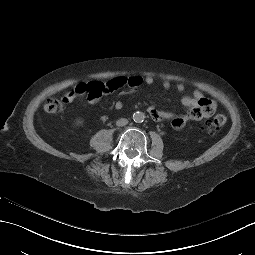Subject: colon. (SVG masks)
Returning <instances> with one entry per match:
<instances>
[{
  "instance_id": "obj_1",
  "label": "colon",
  "mask_w": 255,
  "mask_h": 255,
  "mask_svg": "<svg viewBox=\"0 0 255 255\" xmlns=\"http://www.w3.org/2000/svg\"><path fill=\"white\" fill-rule=\"evenodd\" d=\"M62 107V101L56 98H49L45 103V111L50 114L59 112ZM225 123L226 117L222 114H217L204 124L203 130L209 134H214L220 130L225 125Z\"/></svg>"
}]
</instances>
